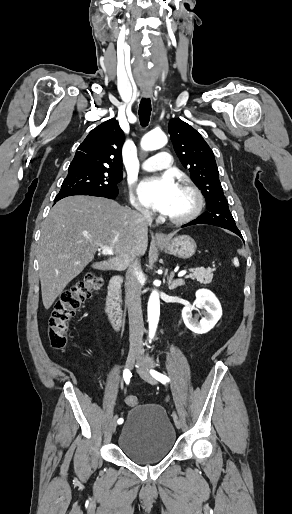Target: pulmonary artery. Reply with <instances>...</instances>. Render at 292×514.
Segmentation results:
<instances>
[{"mask_svg": "<svg viewBox=\"0 0 292 514\" xmlns=\"http://www.w3.org/2000/svg\"><path fill=\"white\" fill-rule=\"evenodd\" d=\"M171 156L170 151L157 150L154 152L153 157L145 160L144 169L148 172H168L174 164V159Z\"/></svg>", "mask_w": 292, "mask_h": 514, "instance_id": "1", "label": "pulmonary artery"}]
</instances>
